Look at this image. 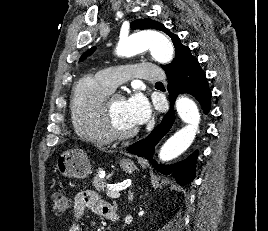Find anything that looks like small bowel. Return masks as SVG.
Wrapping results in <instances>:
<instances>
[{
    "label": "small bowel",
    "mask_w": 268,
    "mask_h": 231,
    "mask_svg": "<svg viewBox=\"0 0 268 231\" xmlns=\"http://www.w3.org/2000/svg\"><path fill=\"white\" fill-rule=\"evenodd\" d=\"M87 210H92L106 218H111L115 214L114 209L98 193L91 190L81 191L73 199V220L68 231H80L79 223Z\"/></svg>",
    "instance_id": "1"
}]
</instances>
